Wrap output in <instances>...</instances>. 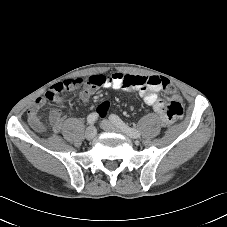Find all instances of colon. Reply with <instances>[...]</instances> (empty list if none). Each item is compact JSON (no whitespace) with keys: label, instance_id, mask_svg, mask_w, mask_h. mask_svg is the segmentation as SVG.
Listing matches in <instances>:
<instances>
[{"label":"colon","instance_id":"obj_1","mask_svg":"<svg viewBox=\"0 0 227 227\" xmlns=\"http://www.w3.org/2000/svg\"><path fill=\"white\" fill-rule=\"evenodd\" d=\"M148 83L152 84V85L161 86V88L169 94H172L175 92V87L165 78L153 77V78L149 79ZM108 107H109V105L107 102L102 103L98 110L100 115H104L106 113V111L108 110Z\"/></svg>","mask_w":227,"mask_h":227}]
</instances>
